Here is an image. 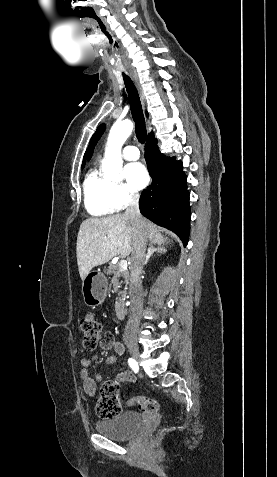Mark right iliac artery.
<instances>
[{"mask_svg": "<svg viewBox=\"0 0 277 477\" xmlns=\"http://www.w3.org/2000/svg\"><path fill=\"white\" fill-rule=\"evenodd\" d=\"M128 363H129L130 367H131L134 371L137 370L138 365H137V362H136L134 359L129 358V359H128Z\"/></svg>", "mask_w": 277, "mask_h": 477, "instance_id": "82829eb1", "label": "right iliac artery"}]
</instances>
